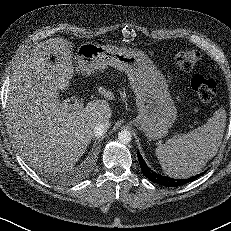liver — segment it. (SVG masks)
I'll return each instance as SVG.
<instances>
[{"label":"liver","mask_w":231,"mask_h":231,"mask_svg":"<svg viewBox=\"0 0 231 231\" xmlns=\"http://www.w3.org/2000/svg\"><path fill=\"white\" fill-rule=\"evenodd\" d=\"M71 44L61 37L37 44L15 67L8 89L7 116L16 147L31 167L43 171L71 168L94 138L95 125L112 115L106 100L76 111L59 105V92L69 88L75 75ZM52 52L56 65L50 61ZM98 92L114 99L103 87Z\"/></svg>","instance_id":"obj_1"}]
</instances>
